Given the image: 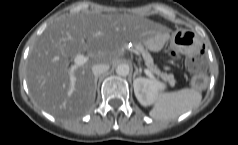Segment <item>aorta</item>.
I'll list each match as a JSON object with an SVG mask.
<instances>
[{
    "instance_id": "obj_1",
    "label": "aorta",
    "mask_w": 238,
    "mask_h": 145,
    "mask_svg": "<svg viewBox=\"0 0 238 145\" xmlns=\"http://www.w3.org/2000/svg\"><path fill=\"white\" fill-rule=\"evenodd\" d=\"M130 72V67L126 63L119 64L116 68V73L119 76H127Z\"/></svg>"
}]
</instances>
